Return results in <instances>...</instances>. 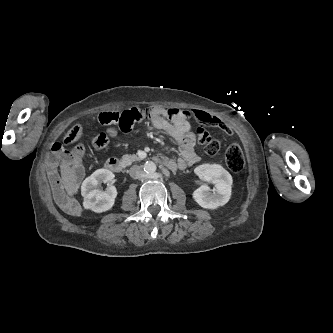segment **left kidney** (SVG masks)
<instances>
[{
  "mask_svg": "<svg viewBox=\"0 0 333 333\" xmlns=\"http://www.w3.org/2000/svg\"><path fill=\"white\" fill-rule=\"evenodd\" d=\"M194 172L199 178L215 185L213 192L207 185H202L193 192L197 204L203 208L216 209L229 201L233 181L226 169L218 164H202Z\"/></svg>",
  "mask_w": 333,
  "mask_h": 333,
  "instance_id": "1",
  "label": "left kidney"
}]
</instances>
